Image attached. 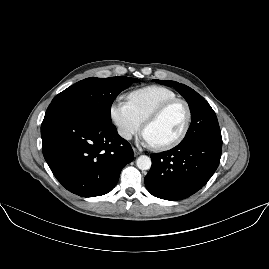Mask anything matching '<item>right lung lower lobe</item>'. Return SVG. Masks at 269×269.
Returning a JSON list of instances; mask_svg holds the SVG:
<instances>
[{
	"mask_svg": "<svg viewBox=\"0 0 269 269\" xmlns=\"http://www.w3.org/2000/svg\"><path fill=\"white\" fill-rule=\"evenodd\" d=\"M43 155L56 179L81 197L101 196L133 160L116 127L83 110L49 105L41 125Z\"/></svg>",
	"mask_w": 269,
	"mask_h": 269,
	"instance_id": "98d812e1",
	"label": "right lung lower lobe"
}]
</instances>
